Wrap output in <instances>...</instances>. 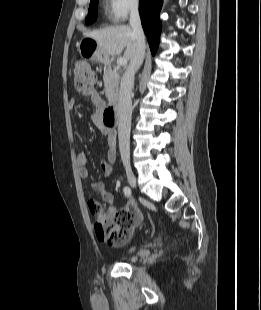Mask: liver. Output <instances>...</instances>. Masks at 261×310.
Instances as JSON below:
<instances>
[{"instance_id":"obj_1","label":"liver","mask_w":261,"mask_h":310,"mask_svg":"<svg viewBox=\"0 0 261 310\" xmlns=\"http://www.w3.org/2000/svg\"><path fill=\"white\" fill-rule=\"evenodd\" d=\"M95 40L104 55H119L124 49V58L130 61L136 50V39L130 26H112L85 33Z\"/></svg>"}]
</instances>
